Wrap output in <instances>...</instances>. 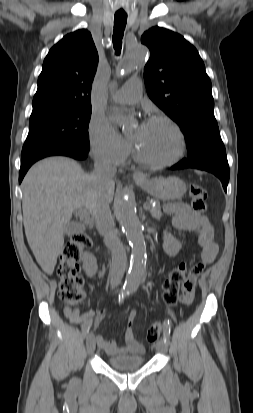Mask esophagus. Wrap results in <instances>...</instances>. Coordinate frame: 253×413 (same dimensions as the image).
Returning <instances> with one entry per match:
<instances>
[{
	"mask_svg": "<svg viewBox=\"0 0 253 413\" xmlns=\"http://www.w3.org/2000/svg\"><path fill=\"white\" fill-rule=\"evenodd\" d=\"M134 177H136V178H144V175H143V173L140 172V171H135V172H134Z\"/></svg>",
	"mask_w": 253,
	"mask_h": 413,
	"instance_id": "obj_1",
	"label": "esophagus"
}]
</instances>
